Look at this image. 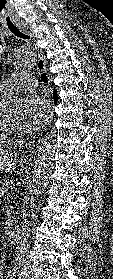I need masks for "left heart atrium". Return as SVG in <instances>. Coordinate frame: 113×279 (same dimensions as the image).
I'll use <instances>...</instances> for the list:
<instances>
[{"label":"left heart atrium","instance_id":"1","mask_svg":"<svg viewBox=\"0 0 113 279\" xmlns=\"http://www.w3.org/2000/svg\"><path fill=\"white\" fill-rule=\"evenodd\" d=\"M50 113L49 100L45 97L34 96L24 107L21 127L29 132L37 131L47 124Z\"/></svg>","mask_w":113,"mask_h":279}]
</instances>
